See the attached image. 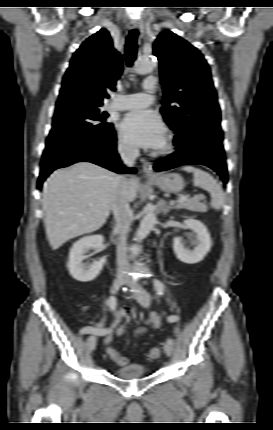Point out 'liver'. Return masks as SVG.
Masks as SVG:
<instances>
[{
    "instance_id": "1",
    "label": "liver",
    "mask_w": 273,
    "mask_h": 430,
    "mask_svg": "<svg viewBox=\"0 0 273 430\" xmlns=\"http://www.w3.org/2000/svg\"><path fill=\"white\" fill-rule=\"evenodd\" d=\"M115 174L87 161L54 171L44 184L42 206L47 238L53 250L68 240L101 228L112 209ZM138 184L124 186L128 202L135 200Z\"/></svg>"
}]
</instances>
